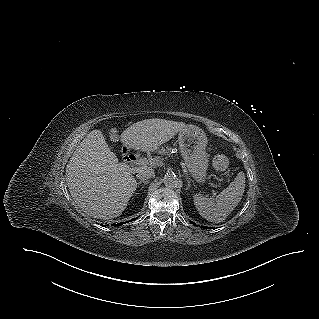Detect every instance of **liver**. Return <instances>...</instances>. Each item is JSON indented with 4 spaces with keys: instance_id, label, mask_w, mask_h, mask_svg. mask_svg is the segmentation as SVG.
<instances>
[{
    "instance_id": "6515ba94",
    "label": "liver",
    "mask_w": 319,
    "mask_h": 319,
    "mask_svg": "<svg viewBox=\"0 0 319 319\" xmlns=\"http://www.w3.org/2000/svg\"><path fill=\"white\" fill-rule=\"evenodd\" d=\"M183 122L147 119L124 130L121 142L135 150L154 151L187 128ZM148 167L131 169L119 163L98 129L91 131L76 147L66 166V183L77 206L87 215L112 219L126 209L136 190L133 173Z\"/></svg>"
}]
</instances>
